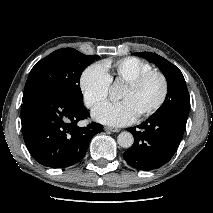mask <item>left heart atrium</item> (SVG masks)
Wrapping results in <instances>:
<instances>
[{"label":"left heart atrium","mask_w":213,"mask_h":213,"mask_svg":"<svg viewBox=\"0 0 213 213\" xmlns=\"http://www.w3.org/2000/svg\"><path fill=\"white\" fill-rule=\"evenodd\" d=\"M92 116L96 121L106 125L124 126L132 123L137 113L128 101L122 100L98 106L94 109Z\"/></svg>","instance_id":"obj_1"}]
</instances>
